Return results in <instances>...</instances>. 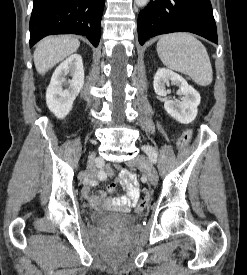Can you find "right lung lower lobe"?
I'll use <instances>...</instances> for the list:
<instances>
[{"instance_id":"1","label":"right lung lower lobe","mask_w":247,"mask_h":275,"mask_svg":"<svg viewBox=\"0 0 247 275\" xmlns=\"http://www.w3.org/2000/svg\"><path fill=\"white\" fill-rule=\"evenodd\" d=\"M105 0H34L30 19V47L51 34L87 36L97 47Z\"/></svg>"}]
</instances>
